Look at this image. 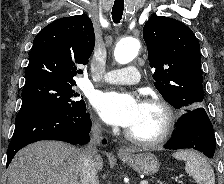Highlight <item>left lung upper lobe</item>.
Segmentation results:
<instances>
[{"label":"left lung upper lobe","instance_id":"5c2ea615","mask_svg":"<svg viewBox=\"0 0 224 184\" xmlns=\"http://www.w3.org/2000/svg\"><path fill=\"white\" fill-rule=\"evenodd\" d=\"M143 38L154 68L155 87L176 109L202 106L200 45L192 30L182 22L152 16L144 25Z\"/></svg>","mask_w":224,"mask_h":184}]
</instances>
